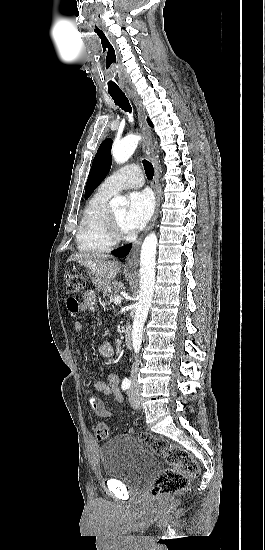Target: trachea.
I'll return each instance as SVG.
<instances>
[{"label":"trachea","instance_id":"3493384b","mask_svg":"<svg viewBox=\"0 0 265 550\" xmlns=\"http://www.w3.org/2000/svg\"><path fill=\"white\" fill-rule=\"evenodd\" d=\"M109 94L114 100L116 105H118L122 110L131 113L132 111L131 105L129 103L128 98L123 92L116 91V92H109ZM143 164H144V169H145L147 178L152 179L154 175L153 165L146 160H143Z\"/></svg>","mask_w":265,"mask_h":550}]
</instances>
